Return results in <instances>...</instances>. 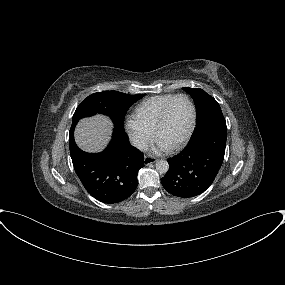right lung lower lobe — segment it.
<instances>
[{"label":"right lung lower lobe","mask_w":285,"mask_h":285,"mask_svg":"<svg viewBox=\"0 0 285 285\" xmlns=\"http://www.w3.org/2000/svg\"><path fill=\"white\" fill-rule=\"evenodd\" d=\"M72 122L69 148L74 170L85 189L97 200L117 203L136 190L137 173L144 167L143 154L129 144L124 131L114 129L112 140L101 153H87L74 141Z\"/></svg>","instance_id":"right-lung-lower-lobe-1"}]
</instances>
